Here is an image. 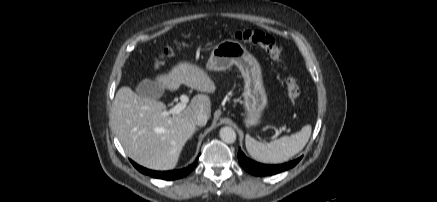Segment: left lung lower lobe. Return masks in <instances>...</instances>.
Instances as JSON below:
<instances>
[{
	"label": "left lung lower lobe",
	"mask_w": 437,
	"mask_h": 202,
	"mask_svg": "<svg viewBox=\"0 0 437 202\" xmlns=\"http://www.w3.org/2000/svg\"><path fill=\"white\" fill-rule=\"evenodd\" d=\"M302 157L290 161L288 163L279 164V165H265L257 163L253 160L247 158L244 153L239 149L238 151V160L240 165L249 173L255 176H268L280 173L282 171L288 170L294 167Z\"/></svg>",
	"instance_id": "left-lung-lower-lobe-1"
}]
</instances>
